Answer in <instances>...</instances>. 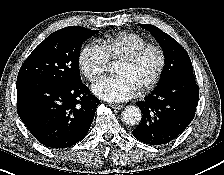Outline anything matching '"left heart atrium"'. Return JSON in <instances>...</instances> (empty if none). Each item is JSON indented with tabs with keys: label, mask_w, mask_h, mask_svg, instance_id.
I'll list each match as a JSON object with an SVG mask.
<instances>
[{
	"label": "left heart atrium",
	"mask_w": 224,
	"mask_h": 175,
	"mask_svg": "<svg viewBox=\"0 0 224 175\" xmlns=\"http://www.w3.org/2000/svg\"><path fill=\"white\" fill-rule=\"evenodd\" d=\"M92 92L109 102H121L132 98L136 87L125 76L105 77L92 86Z\"/></svg>",
	"instance_id": "left-heart-atrium-1"
}]
</instances>
